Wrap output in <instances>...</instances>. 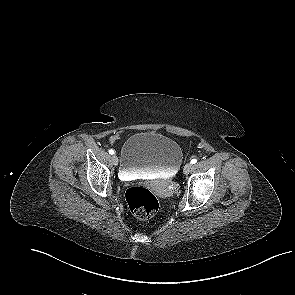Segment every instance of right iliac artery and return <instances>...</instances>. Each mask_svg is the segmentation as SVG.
I'll use <instances>...</instances> for the list:
<instances>
[{
	"instance_id": "right-iliac-artery-1",
	"label": "right iliac artery",
	"mask_w": 295,
	"mask_h": 295,
	"mask_svg": "<svg viewBox=\"0 0 295 295\" xmlns=\"http://www.w3.org/2000/svg\"><path fill=\"white\" fill-rule=\"evenodd\" d=\"M115 153V151L113 149L109 150V154L113 155Z\"/></svg>"
}]
</instances>
